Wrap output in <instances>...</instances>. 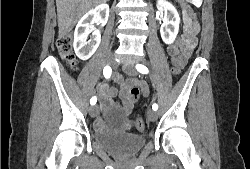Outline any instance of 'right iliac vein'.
I'll return each mask as SVG.
<instances>
[{"label": "right iliac vein", "instance_id": "1", "mask_svg": "<svg viewBox=\"0 0 250 169\" xmlns=\"http://www.w3.org/2000/svg\"><path fill=\"white\" fill-rule=\"evenodd\" d=\"M106 64H109L111 65L113 68H116L117 67V63L114 59L113 56H109L107 59H106ZM89 114L92 118L96 117L97 114H98V106L97 105H94L90 108L89 110Z\"/></svg>", "mask_w": 250, "mask_h": 169}]
</instances>
